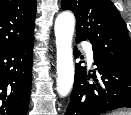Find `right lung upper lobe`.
Here are the masks:
<instances>
[{"label": "right lung upper lobe", "mask_w": 131, "mask_h": 115, "mask_svg": "<svg viewBox=\"0 0 131 115\" xmlns=\"http://www.w3.org/2000/svg\"><path fill=\"white\" fill-rule=\"evenodd\" d=\"M36 0H0V50L34 38Z\"/></svg>", "instance_id": "cb5924a9"}]
</instances>
